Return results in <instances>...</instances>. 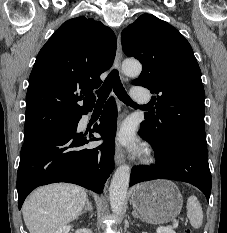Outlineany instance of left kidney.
<instances>
[{
  "label": "left kidney",
  "instance_id": "obj_1",
  "mask_svg": "<svg viewBox=\"0 0 227 233\" xmlns=\"http://www.w3.org/2000/svg\"><path fill=\"white\" fill-rule=\"evenodd\" d=\"M157 233H175V232L169 227H159L157 228Z\"/></svg>",
  "mask_w": 227,
  "mask_h": 233
}]
</instances>
